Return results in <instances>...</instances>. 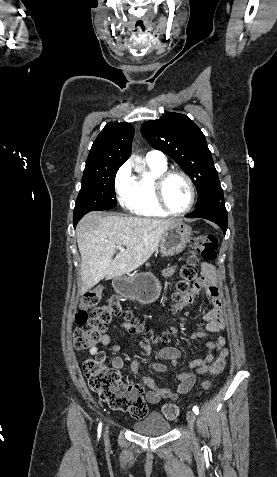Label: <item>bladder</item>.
<instances>
[{"label": "bladder", "mask_w": 277, "mask_h": 477, "mask_svg": "<svg viewBox=\"0 0 277 477\" xmlns=\"http://www.w3.org/2000/svg\"><path fill=\"white\" fill-rule=\"evenodd\" d=\"M135 432L148 436L166 434L171 429V424L159 413H151L146 418L132 424Z\"/></svg>", "instance_id": "obj_1"}]
</instances>
